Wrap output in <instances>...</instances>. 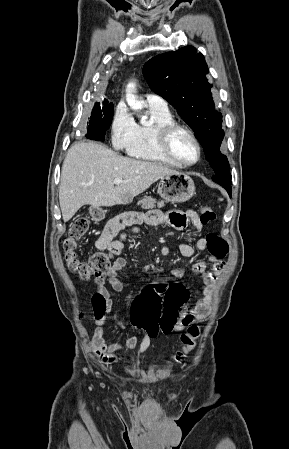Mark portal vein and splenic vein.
<instances>
[{
	"label": "portal vein and splenic vein",
	"instance_id": "portal-vein-and-splenic-vein-1",
	"mask_svg": "<svg viewBox=\"0 0 289 449\" xmlns=\"http://www.w3.org/2000/svg\"><path fill=\"white\" fill-rule=\"evenodd\" d=\"M126 182H128V181H124V180H122V179H120V178H116V179H114V181H113V183H114L115 185H119V184H121V183H126Z\"/></svg>",
	"mask_w": 289,
	"mask_h": 449
}]
</instances>
